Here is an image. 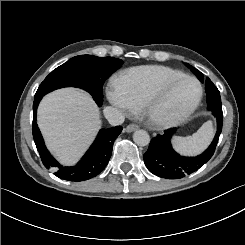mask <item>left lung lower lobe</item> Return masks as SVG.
<instances>
[{"mask_svg": "<svg viewBox=\"0 0 245 245\" xmlns=\"http://www.w3.org/2000/svg\"><path fill=\"white\" fill-rule=\"evenodd\" d=\"M203 82V75L198 77ZM207 93V109L217 119V133L210 146L196 157L180 156L171 146L170 139L176 129H169L163 135L158 134L150 142L144 154V162L148 170L156 176L166 179H181L202 167L214 154L220 133L222 131L223 113L218 89L207 78L205 81Z\"/></svg>", "mask_w": 245, "mask_h": 245, "instance_id": "left-lung-lower-lobe-1", "label": "left lung lower lobe"}]
</instances>
